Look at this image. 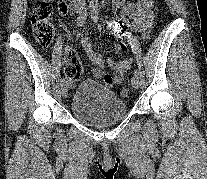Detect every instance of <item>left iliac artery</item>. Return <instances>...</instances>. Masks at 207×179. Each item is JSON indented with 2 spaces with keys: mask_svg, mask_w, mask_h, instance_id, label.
Masks as SVG:
<instances>
[{
  "mask_svg": "<svg viewBox=\"0 0 207 179\" xmlns=\"http://www.w3.org/2000/svg\"><path fill=\"white\" fill-rule=\"evenodd\" d=\"M99 9H98V5H94L92 6V10H91V18L97 22L99 19ZM134 75L135 76H139V71L137 69L134 70Z\"/></svg>",
  "mask_w": 207,
  "mask_h": 179,
  "instance_id": "1",
  "label": "left iliac artery"
}]
</instances>
